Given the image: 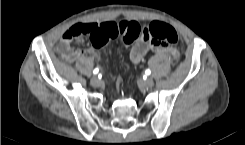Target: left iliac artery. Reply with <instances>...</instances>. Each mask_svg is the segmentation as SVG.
Here are the masks:
<instances>
[{"mask_svg":"<svg viewBox=\"0 0 245 145\" xmlns=\"http://www.w3.org/2000/svg\"><path fill=\"white\" fill-rule=\"evenodd\" d=\"M145 73H146L147 75H150V74H151V71H150L149 69H147V70L145 71Z\"/></svg>","mask_w":245,"mask_h":145,"instance_id":"1","label":"left iliac artery"}]
</instances>
